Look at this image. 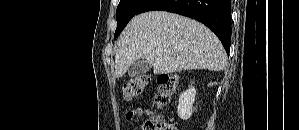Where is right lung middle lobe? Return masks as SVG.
<instances>
[{
  "label": "right lung middle lobe",
  "mask_w": 299,
  "mask_h": 130,
  "mask_svg": "<svg viewBox=\"0 0 299 130\" xmlns=\"http://www.w3.org/2000/svg\"><path fill=\"white\" fill-rule=\"evenodd\" d=\"M147 0H120L116 10L117 28L114 38L124 29L126 24L135 16Z\"/></svg>",
  "instance_id": "dd1d6c3e"
}]
</instances>
